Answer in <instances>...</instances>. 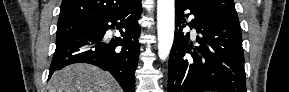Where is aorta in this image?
Instances as JSON below:
<instances>
[{
    "label": "aorta",
    "instance_id": "1",
    "mask_svg": "<svg viewBox=\"0 0 289 92\" xmlns=\"http://www.w3.org/2000/svg\"><path fill=\"white\" fill-rule=\"evenodd\" d=\"M175 10L174 0L157 1V33L158 56L165 60L169 54L174 40Z\"/></svg>",
    "mask_w": 289,
    "mask_h": 92
}]
</instances>
